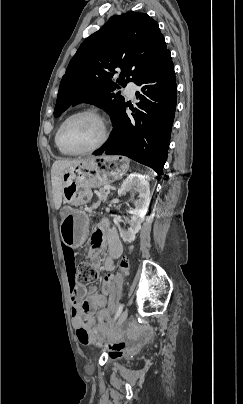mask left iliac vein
I'll return each instance as SVG.
<instances>
[{
  "label": "left iliac vein",
  "instance_id": "left-iliac-vein-1",
  "mask_svg": "<svg viewBox=\"0 0 243 404\" xmlns=\"http://www.w3.org/2000/svg\"><path fill=\"white\" fill-rule=\"evenodd\" d=\"M128 316V309H125L119 316L115 326H114V330L118 329L126 320Z\"/></svg>",
  "mask_w": 243,
  "mask_h": 404
}]
</instances>
